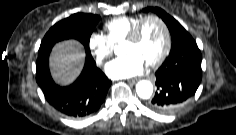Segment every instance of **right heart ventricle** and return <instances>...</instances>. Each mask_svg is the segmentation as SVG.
Returning a JSON list of instances; mask_svg holds the SVG:
<instances>
[{
	"mask_svg": "<svg viewBox=\"0 0 236 135\" xmlns=\"http://www.w3.org/2000/svg\"><path fill=\"white\" fill-rule=\"evenodd\" d=\"M143 17L142 15L119 16L109 20L104 25L108 39L113 45L123 43L135 24Z\"/></svg>",
	"mask_w": 236,
	"mask_h": 135,
	"instance_id": "obj_1",
	"label": "right heart ventricle"
}]
</instances>
